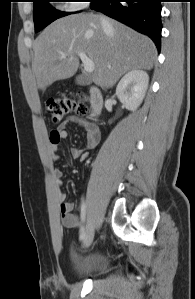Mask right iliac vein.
I'll list each match as a JSON object with an SVG mask.
<instances>
[{
  "label": "right iliac vein",
  "instance_id": "1",
  "mask_svg": "<svg viewBox=\"0 0 195 299\" xmlns=\"http://www.w3.org/2000/svg\"><path fill=\"white\" fill-rule=\"evenodd\" d=\"M94 239V226L91 220H88L86 225L85 237L83 241V247L88 248Z\"/></svg>",
  "mask_w": 195,
  "mask_h": 299
}]
</instances>
